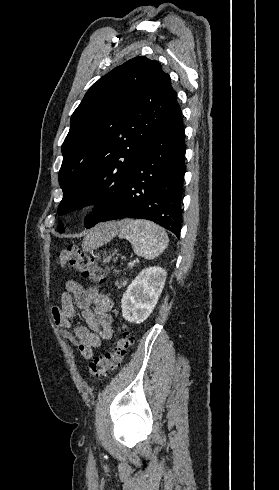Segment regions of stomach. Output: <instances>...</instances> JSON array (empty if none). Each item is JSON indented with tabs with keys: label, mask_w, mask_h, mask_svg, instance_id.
<instances>
[{
	"label": "stomach",
	"mask_w": 279,
	"mask_h": 490,
	"mask_svg": "<svg viewBox=\"0 0 279 490\" xmlns=\"http://www.w3.org/2000/svg\"><path fill=\"white\" fill-rule=\"evenodd\" d=\"M111 258H112V254H110V256H107V258H104L103 264H107V262H110Z\"/></svg>",
	"instance_id": "1"
}]
</instances>
